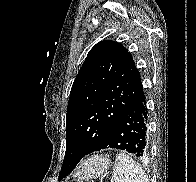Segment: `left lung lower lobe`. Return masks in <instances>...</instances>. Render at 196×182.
<instances>
[{"label": "left lung lower lobe", "mask_w": 196, "mask_h": 182, "mask_svg": "<svg viewBox=\"0 0 196 182\" xmlns=\"http://www.w3.org/2000/svg\"><path fill=\"white\" fill-rule=\"evenodd\" d=\"M145 93L140 95L122 112L109 133L94 151L102 149H120L137 157H145L148 153V118ZM93 151V152H94ZM86 154L78 146L69 149L65 155L66 163H78Z\"/></svg>", "instance_id": "obj_1"}]
</instances>
